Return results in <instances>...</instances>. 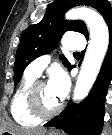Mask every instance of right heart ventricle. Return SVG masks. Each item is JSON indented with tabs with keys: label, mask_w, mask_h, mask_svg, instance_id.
<instances>
[{
	"label": "right heart ventricle",
	"mask_w": 112,
	"mask_h": 135,
	"mask_svg": "<svg viewBox=\"0 0 112 135\" xmlns=\"http://www.w3.org/2000/svg\"><path fill=\"white\" fill-rule=\"evenodd\" d=\"M36 79V76L25 73L10 103V113L13 120L23 127H32L40 122V119L31 114L26 101L28 90Z\"/></svg>",
	"instance_id": "1"
}]
</instances>
